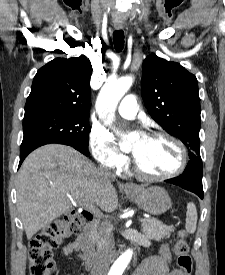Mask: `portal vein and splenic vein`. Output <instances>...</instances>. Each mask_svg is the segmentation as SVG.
Listing matches in <instances>:
<instances>
[{"mask_svg": "<svg viewBox=\"0 0 225 275\" xmlns=\"http://www.w3.org/2000/svg\"><path fill=\"white\" fill-rule=\"evenodd\" d=\"M82 206H84V207H86V208H88V209L93 208V205L90 204L88 201H85L84 204H83ZM145 220H146V219H142L141 221L144 222Z\"/></svg>", "mask_w": 225, "mask_h": 275, "instance_id": "1", "label": "portal vein and splenic vein"}]
</instances>
